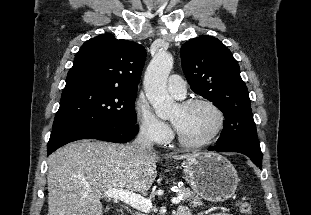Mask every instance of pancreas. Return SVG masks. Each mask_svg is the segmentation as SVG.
<instances>
[{"label":"pancreas","mask_w":311,"mask_h":215,"mask_svg":"<svg viewBox=\"0 0 311 215\" xmlns=\"http://www.w3.org/2000/svg\"><path fill=\"white\" fill-rule=\"evenodd\" d=\"M178 190L183 196V201L189 202L190 206L197 207L203 205V202L201 201L199 196L196 193L192 192L190 189L181 186L179 187ZM134 215H146V214L136 212Z\"/></svg>","instance_id":"cf45deb5"}]
</instances>
